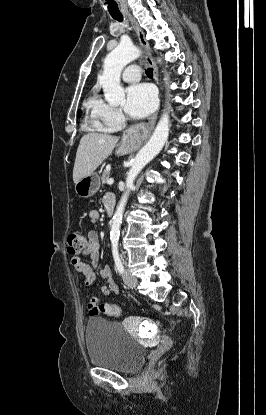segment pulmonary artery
<instances>
[{
    "label": "pulmonary artery",
    "mask_w": 266,
    "mask_h": 415,
    "mask_svg": "<svg viewBox=\"0 0 266 415\" xmlns=\"http://www.w3.org/2000/svg\"><path fill=\"white\" fill-rule=\"evenodd\" d=\"M122 78L126 82H136L140 79V68L137 65L128 66L122 73Z\"/></svg>",
    "instance_id": "e3ab8cb5"
}]
</instances>
